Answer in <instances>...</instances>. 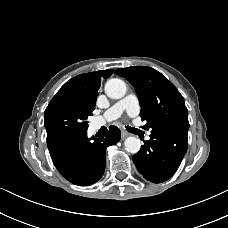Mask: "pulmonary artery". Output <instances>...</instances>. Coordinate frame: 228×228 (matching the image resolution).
<instances>
[{
	"label": "pulmonary artery",
	"mask_w": 228,
	"mask_h": 228,
	"mask_svg": "<svg viewBox=\"0 0 228 228\" xmlns=\"http://www.w3.org/2000/svg\"><path fill=\"white\" fill-rule=\"evenodd\" d=\"M123 112H126L131 117H135L139 114L140 105L136 95L129 94L112 105L108 110L104 112L103 116L98 121L97 126H100L106 121L117 119L122 115ZM145 139L150 140V132L147 133Z\"/></svg>",
	"instance_id": "pulmonary-artery-1"
}]
</instances>
